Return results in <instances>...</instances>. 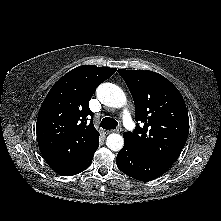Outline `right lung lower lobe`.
Here are the masks:
<instances>
[{
	"mask_svg": "<svg viewBox=\"0 0 221 221\" xmlns=\"http://www.w3.org/2000/svg\"><path fill=\"white\" fill-rule=\"evenodd\" d=\"M98 146H99V143L80 162H78L73 167L66 169L58 174L62 176H71V175H76L84 171L85 169H87L92 162L94 153L97 150Z\"/></svg>",
	"mask_w": 221,
	"mask_h": 221,
	"instance_id": "1",
	"label": "right lung lower lobe"
}]
</instances>
